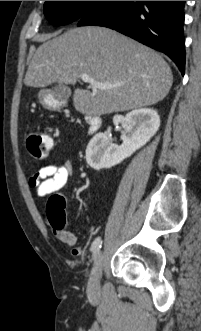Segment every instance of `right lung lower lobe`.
<instances>
[{
    "label": "right lung lower lobe",
    "instance_id": "98d812e1",
    "mask_svg": "<svg viewBox=\"0 0 201 331\" xmlns=\"http://www.w3.org/2000/svg\"><path fill=\"white\" fill-rule=\"evenodd\" d=\"M185 1H103L77 23L104 26L164 52L185 73Z\"/></svg>",
    "mask_w": 201,
    "mask_h": 331
}]
</instances>
